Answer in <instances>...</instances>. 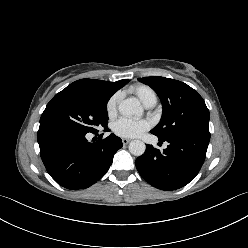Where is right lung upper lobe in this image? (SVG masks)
I'll list each match as a JSON object with an SVG mask.
<instances>
[{
  "label": "right lung upper lobe",
  "instance_id": "right-lung-upper-lobe-1",
  "mask_svg": "<svg viewBox=\"0 0 248 248\" xmlns=\"http://www.w3.org/2000/svg\"><path fill=\"white\" fill-rule=\"evenodd\" d=\"M128 79L117 82H108L96 79H81L71 83L67 89H74L99 98L110 99V97L126 83Z\"/></svg>",
  "mask_w": 248,
  "mask_h": 248
}]
</instances>
